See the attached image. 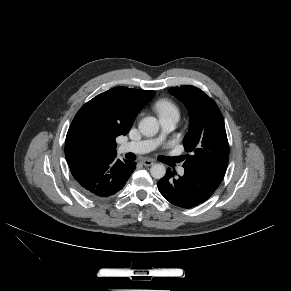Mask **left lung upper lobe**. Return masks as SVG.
Masks as SVG:
<instances>
[{
  "label": "left lung upper lobe",
  "mask_w": 291,
  "mask_h": 291,
  "mask_svg": "<svg viewBox=\"0 0 291 291\" xmlns=\"http://www.w3.org/2000/svg\"><path fill=\"white\" fill-rule=\"evenodd\" d=\"M170 92L187 106L190 129L183 145L189 152L183 166L225 176L229 145L222 114L216 103L200 89L184 85L173 87Z\"/></svg>",
  "instance_id": "1"
}]
</instances>
